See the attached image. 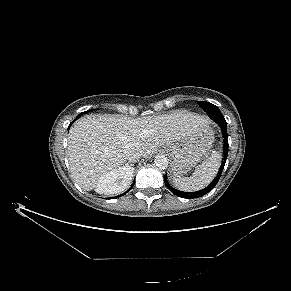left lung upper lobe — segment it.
Returning <instances> with one entry per match:
<instances>
[{"instance_id":"left-lung-upper-lobe-1","label":"left lung upper lobe","mask_w":291,"mask_h":291,"mask_svg":"<svg viewBox=\"0 0 291 291\" xmlns=\"http://www.w3.org/2000/svg\"><path fill=\"white\" fill-rule=\"evenodd\" d=\"M198 105L208 114V116L222 115L219 108L209 102L198 101Z\"/></svg>"}]
</instances>
